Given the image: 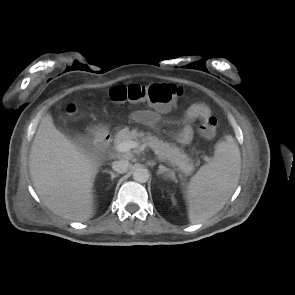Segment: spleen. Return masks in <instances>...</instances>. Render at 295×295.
Segmentation results:
<instances>
[{"label": "spleen", "mask_w": 295, "mask_h": 295, "mask_svg": "<svg viewBox=\"0 0 295 295\" xmlns=\"http://www.w3.org/2000/svg\"><path fill=\"white\" fill-rule=\"evenodd\" d=\"M241 173V156L232 136L215 147L214 156L191 178L185 197L189 221L198 224L214 216L237 187Z\"/></svg>", "instance_id": "spleen-1"}]
</instances>
